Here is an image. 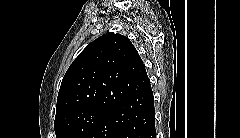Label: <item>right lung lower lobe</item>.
Masks as SVG:
<instances>
[{
    "instance_id": "1",
    "label": "right lung lower lobe",
    "mask_w": 240,
    "mask_h": 138,
    "mask_svg": "<svg viewBox=\"0 0 240 138\" xmlns=\"http://www.w3.org/2000/svg\"><path fill=\"white\" fill-rule=\"evenodd\" d=\"M87 138H156L151 85L109 109Z\"/></svg>"
}]
</instances>
